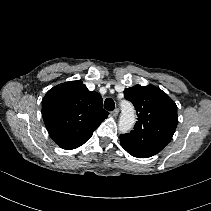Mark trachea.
<instances>
[{
    "label": "trachea",
    "instance_id": "trachea-1",
    "mask_svg": "<svg viewBox=\"0 0 211 211\" xmlns=\"http://www.w3.org/2000/svg\"><path fill=\"white\" fill-rule=\"evenodd\" d=\"M104 108L108 111H113L115 108V103L111 98H107L104 102Z\"/></svg>",
    "mask_w": 211,
    "mask_h": 211
}]
</instances>
